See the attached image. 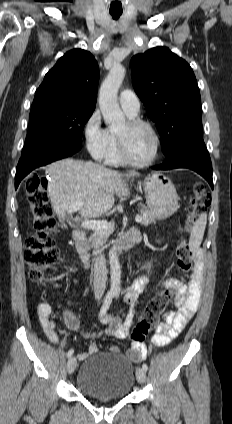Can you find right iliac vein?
Returning <instances> with one entry per match:
<instances>
[{
	"label": "right iliac vein",
	"instance_id": "1",
	"mask_svg": "<svg viewBox=\"0 0 232 424\" xmlns=\"http://www.w3.org/2000/svg\"><path fill=\"white\" fill-rule=\"evenodd\" d=\"M77 366V360L75 357H70L67 362V371L69 374H72Z\"/></svg>",
	"mask_w": 232,
	"mask_h": 424
}]
</instances>
